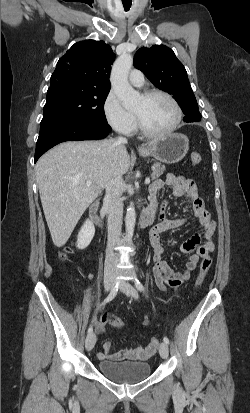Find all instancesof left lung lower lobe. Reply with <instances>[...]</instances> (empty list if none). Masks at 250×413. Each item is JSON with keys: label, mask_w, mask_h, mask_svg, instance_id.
<instances>
[{"label": "left lung lower lobe", "mask_w": 250, "mask_h": 413, "mask_svg": "<svg viewBox=\"0 0 250 413\" xmlns=\"http://www.w3.org/2000/svg\"><path fill=\"white\" fill-rule=\"evenodd\" d=\"M200 120H201V117L194 116V115L185 116V117L183 118V121H185V122H187V123H189V122H198V121H200Z\"/></svg>", "instance_id": "1"}]
</instances>
